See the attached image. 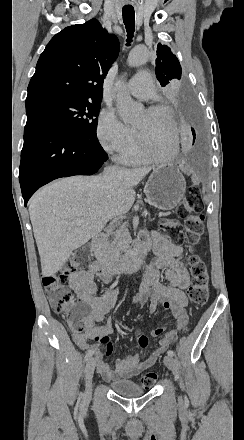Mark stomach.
<instances>
[{
  "label": "stomach",
  "instance_id": "1",
  "mask_svg": "<svg viewBox=\"0 0 244 440\" xmlns=\"http://www.w3.org/2000/svg\"><path fill=\"white\" fill-rule=\"evenodd\" d=\"M186 182L178 166L166 164L154 168L144 188V194L151 206L158 210H173L183 200Z\"/></svg>",
  "mask_w": 244,
  "mask_h": 440
}]
</instances>
